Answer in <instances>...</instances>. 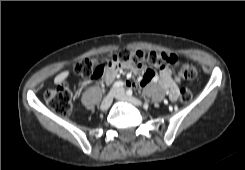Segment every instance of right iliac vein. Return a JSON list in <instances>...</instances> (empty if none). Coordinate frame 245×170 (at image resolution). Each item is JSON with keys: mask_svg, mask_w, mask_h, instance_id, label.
Masks as SVG:
<instances>
[{"mask_svg": "<svg viewBox=\"0 0 245 170\" xmlns=\"http://www.w3.org/2000/svg\"><path fill=\"white\" fill-rule=\"evenodd\" d=\"M113 93H114V91H112L111 93H109L105 97V99L103 100V102L101 103V107L100 108H101L102 111L107 110L110 107V105L112 104V101H113Z\"/></svg>", "mask_w": 245, "mask_h": 170, "instance_id": "obj_1", "label": "right iliac vein"}]
</instances>
